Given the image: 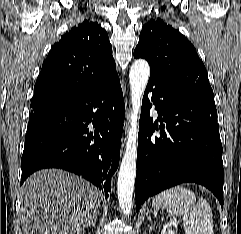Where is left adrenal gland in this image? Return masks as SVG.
Masks as SVG:
<instances>
[{"instance_id":"left-adrenal-gland-1","label":"left adrenal gland","mask_w":241,"mask_h":234,"mask_svg":"<svg viewBox=\"0 0 241 234\" xmlns=\"http://www.w3.org/2000/svg\"><path fill=\"white\" fill-rule=\"evenodd\" d=\"M155 229V225H151L150 226V229H149V232H151L152 230H154Z\"/></svg>"}]
</instances>
